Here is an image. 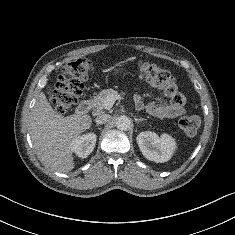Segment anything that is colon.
Returning <instances> with one entry per match:
<instances>
[{
    "instance_id": "1",
    "label": "colon",
    "mask_w": 235,
    "mask_h": 235,
    "mask_svg": "<svg viewBox=\"0 0 235 235\" xmlns=\"http://www.w3.org/2000/svg\"><path fill=\"white\" fill-rule=\"evenodd\" d=\"M92 69L93 63L89 58H79L64 66L51 98L58 113L68 112L78 102L84 89V81ZM137 71L141 79L157 88L171 104L184 105L185 97L179 91L174 77L167 70L151 62L140 61ZM179 126L186 136L192 137L200 127V118L196 115L184 116L180 119Z\"/></svg>"
}]
</instances>
